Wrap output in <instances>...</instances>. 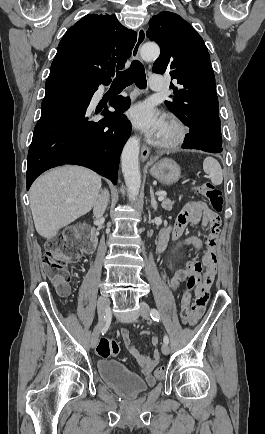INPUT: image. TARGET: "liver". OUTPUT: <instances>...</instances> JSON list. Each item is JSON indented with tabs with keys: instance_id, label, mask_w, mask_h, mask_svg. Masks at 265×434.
I'll list each match as a JSON object with an SVG mask.
<instances>
[{
	"instance_id": "liver-1",
	"label": "liver",
	"mask_w": 265,
	"mask_h": 434,
	"mask_svg": "<svg viewBox=\"0 0 265 434\" xmlns=\"http://www.w3.org/2000/svg\"><path fill=\"white\" fill-rule=\"evenodd\" d=\"M101 190V176L81 168H55L35 180L30 208L39 236L54 238L60 228L92 210Z\"/></svg>"
}]
</instances>
